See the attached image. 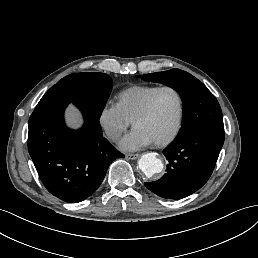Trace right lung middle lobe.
<instances>
[{"label":"right lung middle lobe","instance_id":"1","mask_svg":"<svg viewBox=\"0 0 258 258\" xmlns=\"http://www.w3.org/2000/svg\"><path fill=\"white\" fill-rule=\"evenodd\" d=\"M67 82L91 87L89 108L92 114L100 118L112 89L111 78L105 73H73L58 81Z\"/></svg>","mask_w":258,"mask_h":258}]
</instances>
